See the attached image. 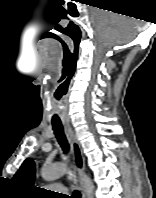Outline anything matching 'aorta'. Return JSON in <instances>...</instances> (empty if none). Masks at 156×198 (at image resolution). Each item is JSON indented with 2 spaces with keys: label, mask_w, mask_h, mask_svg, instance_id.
<instances>
[{
  "label": "aorta",
  "mask_w": 156,
  "mask_h": 198,
  "mask_svg": "<svg viewBox=\"0 0 156 198\" xmlns=\"http://www.w3.org/2000/svg\"><path fill=\"white\" fill-rule=\"evenodd\" d=\"M67 172V168L64 164H45L41 169V176L46 181H53L61 177ZM81 182L85 188L87 198H93L94 186L89 177L84 175Z\"/></svg>",
  "instance_id": "762f6f07"
}]
</instances>
